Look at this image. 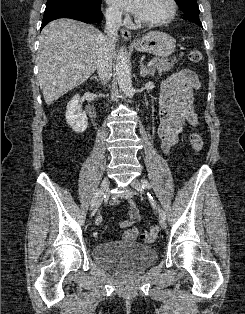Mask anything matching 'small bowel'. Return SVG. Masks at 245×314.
Instances as JSON below:
<instances>
[{
	"label": "small bowel",
	"instance_id": "1",
	"mask_svg": "<svg viewBox=\"0 0 245 314\" xmlns=\"http://www.w3.org/2000/svg\"><path fill=\"white\" fill-rule=\"evenodd\" d=\"M199 86L197 75L190 69H181L164 81L159 100L158 137L165 154H169L178 143L179 135L187 124L197 125L193 107V91ZM127 201L130 205L129 218L121 221L120 227L126 229L123 240L133 242L139 234L138 228L133 224L140 220L141 213L132 199Z\"/></svg>",
	"mask_w": 245,
	"mask_h": 314
}]
</instances>
